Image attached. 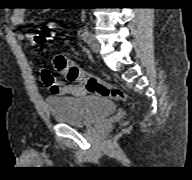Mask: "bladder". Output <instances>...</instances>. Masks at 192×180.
<instances>
[{
	"instance_id": "31cf9c89",
	"label": "bladder",
	"mask_w": 192,
	"mask_h": 180,
	"mask_svg": "<svg viewBox=\"0 0 192 180\" xmlns=\"http://www.w3.org/2000/svg\"><path fill=\"white\" fill-rule=\"evenodd\" d=\"M47 106L53 120L59 124L86 127L100 121L116 110L115 104L104 97H49Z\"/></svg>"
}]
</instances>
